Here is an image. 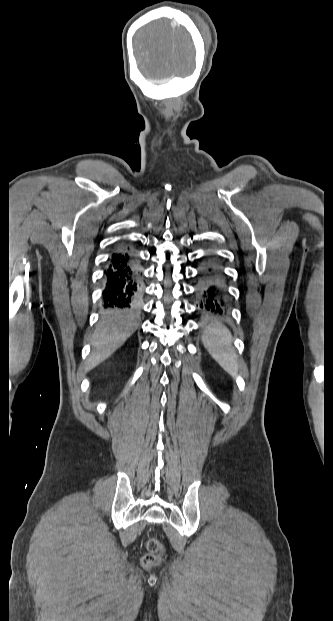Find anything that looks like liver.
Instances as JSON below:
<instances>
[{
  "label": "liver",
  "mask_w": 333,
  "mask_h": 621,
  "mask_svg": "<svg viewBox=\"0 0 333 621\" xmlns=\"http://www.w3.org/2000/svg\"><path fill=\"white\" fill-rule=\"evenodd\" d=\"M137 316L111 310L105 313L92 339L93 351L87 360L86 370L99 365L110 357L137 329Z\"/></svg>",
  "instance_id": "1"
}]
</instances>
